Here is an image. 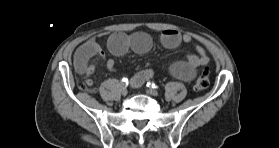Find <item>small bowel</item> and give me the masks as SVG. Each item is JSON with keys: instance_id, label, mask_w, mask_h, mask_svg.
<instances>
[{"instance_id": "1", "label": "small bowel", "mask_w": 279, "mask_h": 148, "mask_svg": "<svg viewBox=\"0 0 279 148\" xmlns=\"http://www.w3.org/2000/svg\"><path fill=\"white\" fill-rule=\"evenodd\" d=\"M161 42L170 49L176 48L182 42L193 44L196 50V54H189L186 60L175 62L170 66L169 71L174 77L190 81L195 77L198 67L209 63L210 59L206 50L201 45L194 43L192 36L189 34L182 35L178 30L166 29L161 34ZM107 45L109 51L114 56H122L129 50L142 54L151 48L152 39L146 32H135L132 34L116 32L108 38ZM94 56H103V50L96 40L90 39L78 47L74 57L76 71L81 75L87 76L90 82L91 79L89 77L95 70L91 62ZM106 66L110 71H114L116 68L113 59H108ZM152 76V69H143L131 78V86L138 88L152 78Z\"/></svg>"}]
</instances>
